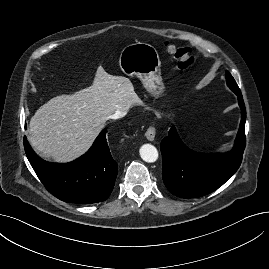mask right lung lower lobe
Returning <instances> with one entry per match:
<instances>
[{"label":"right lung lower lobe","mask_w":269,"mask_h":269,"mask_svg":"<svg viewBox=\"0 0 269 269\" xmlns=\"http://www.w3.org/2000/svg\"><path fill=\"white\" fill-rule=\"evenodd\" d=\"M106 133L103 130L83 156L66 164L42 160L26 139L24 148L38 178L55 197L69 203H97L109 197L118 171L106 141Z\"/></svg>","instance_id":"obj_1"}]
</instances>
